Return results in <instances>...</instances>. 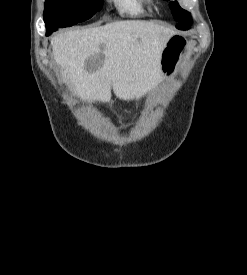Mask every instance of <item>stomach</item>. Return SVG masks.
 <instances>
[{"label": "stomach", "mask_w": 247, "mask_h": 275, "mask_svg": "<svg viewBox=\"0 0 247 275\" xmlns=\"http://www.w3.org/2000/svg\"><path fill=\"white\" fill-rule=\"evenodd\" d=\"M188 53V41L177 34L168 38L161 53L162 79H170L179 71L182 60Z\"/></svg>", "instance_id": "stomach-1"}]
</instances>
